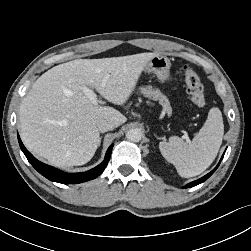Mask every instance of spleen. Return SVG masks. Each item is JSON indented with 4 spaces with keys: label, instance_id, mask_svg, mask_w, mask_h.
I'll use <instances>...</instances> for the list:
<instances>
[{
    "label": "spleen",
    "instance_id": "3e777b00",
    "mask_svg": "<svg viewBox=\"0 0 251 251\" xmlns=\"http://www.w3.org/2000/svg\"><path fill=\"white\" fill-rule=\"evenodd\" d=\"M224 124L221 111L211 108L208 117L191 142L172 136L159 143L162 156L175 166L181 177H194L204 172L215 160L222 144Z\"/></svg>",
    "mask_w": 251,
    "mask_h": 251
}]
</instances>
